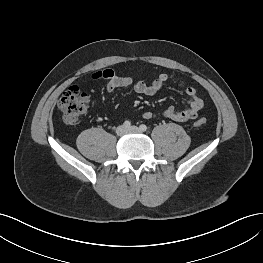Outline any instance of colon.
I'll list each match as a JSON object with an SVG mask.
<instances>
[{"label": "colon", "mask_w": 263, "mask_h": 263, "mask_svg": "<svg viewBox=\"0 0 263 263\" xmlns=\"http://www.w3.org/2000/svg\"><path fill=\"white\" fill-rule=\"evenodd\" d=\"M89 107V98L87 94L79 87H70L61 96L58 108L62 113L63 120L67 124H76ZM205 124L204 119H200L195 123L196 127Z\"/></svg>", "instance_id": "obj_1"}]
</instances>
